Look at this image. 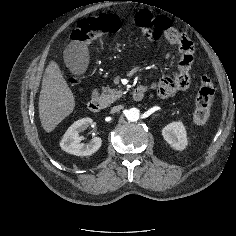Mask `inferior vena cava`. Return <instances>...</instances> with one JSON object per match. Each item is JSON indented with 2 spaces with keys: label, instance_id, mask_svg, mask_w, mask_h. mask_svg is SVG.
Masks as SVG:
<instances>
[{
  "label": "inferior vena cava",
  "instance_id": "602c4592",
  "mask_svg": "<svg viewBox=\"0 0 236 236\" xmlns=\"http://www.w3.org/2000/svg\"><path fill=\"white\" fill-rule=\"evenodd\" d=\"M121 109H122L121 105L114 106L113 108H111V113H116V112L120 111Z\"/></svg>",
  "mask_w": 236,
  "mask_h": 236
}]
</instances>
